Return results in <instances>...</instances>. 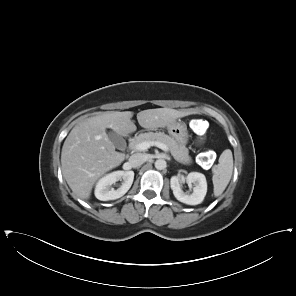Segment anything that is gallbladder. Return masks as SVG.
Segmentation results:
<instances>
[{
  "instance_id": "gallbladder-1",
  "label": "gallbladder",
  "mask_w": 296,
  "mask_h": 296,
  "mask_svg": "<svg viewBox=\"0 0 296 296\" xmlns=\"http://www.w3.org/2000/svg\"><path fill=\"white\" fill-rule=\"evenodd\" d=\"M109 138L117 148H122L125 145L124 139L114 132L109 133Z\"/></svg>"
}]
</instances>
